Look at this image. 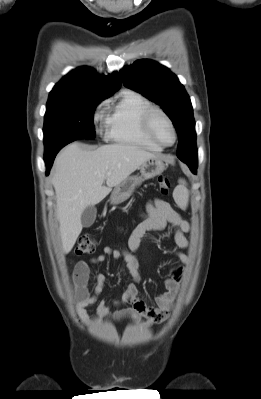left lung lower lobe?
I'll return each mask as SVG.
<instances>
[{
  "instance_id": "1",
  "label": "left lung lower lobe",
  "mask_w": 261,
  "mask_h": 399,
  "mask_svg": "<svg viewBox=\"0 0 261 399\" xmlns=\"http://www.w3.org/2000/svg\"><path fill=\"white\" fill-rule=\"evenodd\" d=\"M184 163H186L188 165V167L191 169V171L196 174V170H197V160L195 161H183Z\"/></svg>"
}]
</instances>
